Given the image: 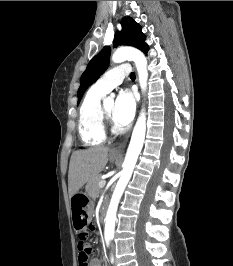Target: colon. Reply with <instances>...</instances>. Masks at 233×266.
<instances>
[{
  "label": "colon",
  "mask_w": 233,
  "mask_h": 266,
  "mask_svg": "<svg viewBox=\"0 0 233 266\" xmlns=\"http://www.w3.org/2000/svg\"><path fill=\"white\" fill-rule=\"evenodd\" d=\"M95 224L87 225L86 232H79L78 234V249H79V266H87L89 256L92 253V247L87 243L86 237L88 233L94 232Z\"/></svg>",
  "instance_id": "1"
}]
</instances>
